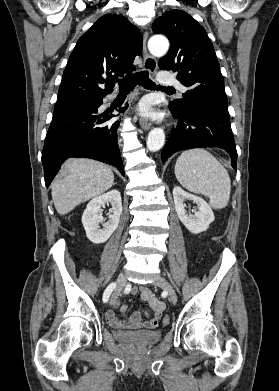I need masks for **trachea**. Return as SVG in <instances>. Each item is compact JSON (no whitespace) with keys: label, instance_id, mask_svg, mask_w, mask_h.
I'll return each instance as SVG.
<instances>
[{"label":"trachea","instance_id":"1","mask_svg":"<svg viewBox=\"0 0 279 391\" xmlns=\"http://www.w3.org/2000/svg\"><path fill=\"white\" fill-rule=\"evenodd\" d=\"M139 84L146 89H159L160 86H156L154 82L149 79V74L146 71L137 72L135 74L126 76L119 82V88L121 92L130 91ZM162 89H173V87H161Z\"/></svg>","mask_w":279,"mask_h":391}]
</instances>
